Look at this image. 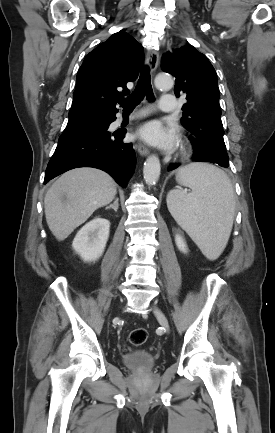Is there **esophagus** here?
Wrapping results in <instances>:
<instances>
[{"label": "esophagus", "mask_w": 275, "mask_h": 433, "mask_svg": "<svg viewBox=\"0 0 275 433\" xmlns=\"http://www.w3.org/2000/svg\"><path fill=\"white\" fill-rule=\"evenodd\" d=\"M146 64L151 72H154L159 64V52L157 50H149L146 56ZM136 149L141 156H147L149 149L141 142L136 144Z\"/></svg>", "instance_id": "esophagus-1"}]
</instances>
